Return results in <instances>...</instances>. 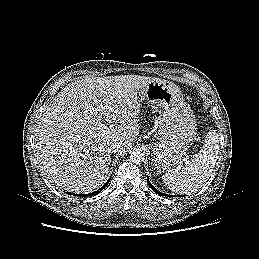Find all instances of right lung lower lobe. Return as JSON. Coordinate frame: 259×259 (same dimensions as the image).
<instances>
[{
    "label": "right lung lower lobe",
    "instance_id": "obj_1",
    "mask_svg": "<svg viewBox=\"0 0 259 259\" xmlns=\"http://www.w3.org/2000/svg\"><path fill=\"white\" fill-rule=\"evenodd\" d=\"M109 181H110V178L108 179V181L105 183L104 186H102L99 190L93 192L92 194L99 193L100 191H102L106 187V185L109 183Z\"/></svg>",
    "mask_w": 259,
    "mask_h": 259
}]
</instances>
